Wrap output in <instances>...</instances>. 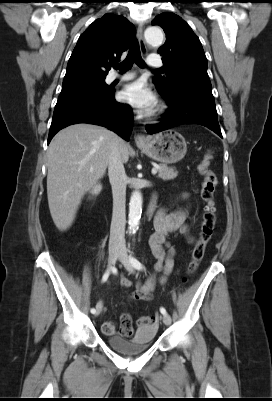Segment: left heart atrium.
Returning a JSON list of instances; mask_svg holds the SVG:
<instances>
[{"instance_id": "1", "label": "left heart atrium", "mask_w": 272, "mask_h": 401, "mask_svg": "<svg viewBox=\"0 0 272 401\" xmlns=\"http://www.w3.org/2000/svg\"><path fill=\"white\" fill-rule=\"evenodd\" d=\"M121 100L140 113L149 112L155 105V96L142 82L127 85L120 92Z\"/></svg>"}]
</instances>
